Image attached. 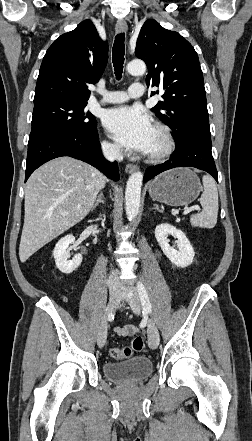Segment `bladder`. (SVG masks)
Instances as JSON below:
<instances>
[{
	"instance_id": "1",
	"label": "bladder",
	"mask_w": 252,
	"mask_h": 441,
	"mask_svg": "<svg viewBox=\"0 0 252 441\" xmlns=\"http://www.w3.org/2000/svg\"><path fill=\"white\" fill-rule=\"evenodd\" d=\"M152 370V361L145 356H133L121 362H106L103 365L104 376L119 384L139 383L146 379Z\"/></svg>"
}]
</instances>
